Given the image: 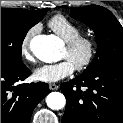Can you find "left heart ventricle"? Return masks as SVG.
Wrapping results in <instances>:
<instances>
[{"instance_id": "left-heart-ventricle-1", "label": "left heart ventricle", "mask_w": 123, "mask_h": 123, "mask_svg": "<svg viewBox=\"0 0 123 123\" xmlns=\"http://www.w3.org/2000/svg\"><path fill=\"white\" fill-rule=\"evenodd\" d=\"M86 55V49L84 47L79 48L74 53H69L68 50L64 47L61 53L62 59H68L75 66L80 62Z\"/></svg>"}]
</instances>
